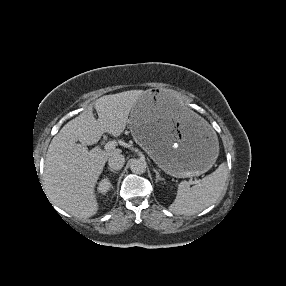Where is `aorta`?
Masks as SVG:
<instances>
[{"instance_id": "aorta-1", "label": "aorta", "mask_w": 286, "mask_h": 286, "mask_svg": "<svg viewBox=\"0 0 286 286\" xmlns=\"http://www.w3.org/2000/svg\"><path fill=\"white\" fill-rule=\"evenodd\" d=\"M129 165L131 171L135 174H143L146 171V164L141 159H131Z\"/></svg>"}]
</instances>
